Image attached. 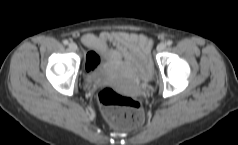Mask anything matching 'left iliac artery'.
<instances>
[{"label": "left iliac artery", "instance_id": "1", "mask_svg": "<svg viewBox=\"0 0 238 145\" xmlns=\"http://www.w3.org/2000/svg\"><path fill=\"white\" fill-rule=\"evenodd\" d=\"M172 43H173L172 40H168V41H167V45H168V46H171Z\"/></svg>", "mask_w": 238, "mask_h": 145}]
</instances>
